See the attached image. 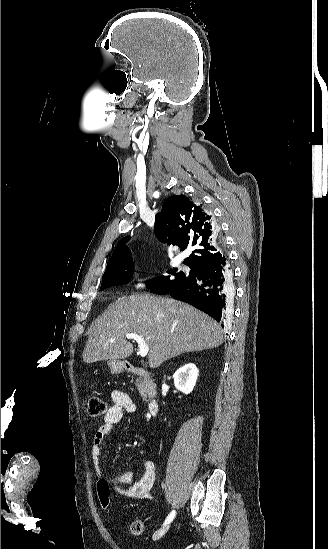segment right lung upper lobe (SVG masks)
<instances>
[{
	"instance_id": "cb5924a9",
	"label": "right lung upper lobe",
	"mask_w": 328,
	"mask_h": 549,
	"mask_svg": "<svg viewBox=\"0 0 328 549\" xmlns=\"http://www.w3.org/2000/svg\"><path fill=\"white\" fill-rule=\"evenodd\" d=\"M154 232L168 245L179 246L181 250L193 247L194 251L183 262L192 269L225 256L219 227L213 217L185 195H174L164 201L161 213L156 214ZM128 240L126 236L118 243L106 269L132 260L126 246Z\"/></svg>"
}]
</instances>
